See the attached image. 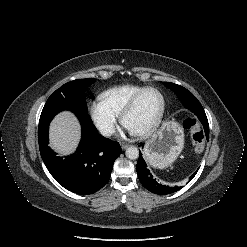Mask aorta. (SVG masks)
<instances>
[{
    "instance_id": "762f6f07",
    "label": "aorta",
    "mask_w": 247,
    "mask_h": 247,
    "mask_svg": "<svg viewBox=\"0 0 247 247\" xmlns=\"http://www.w3.org/2000/svg\"><path fill=\"white\" fill-rule=\"evenodd\" d=\"M125 155L127 158L131 159V160H135L138 158L139 156V150L137 147L135 146H130L126 149Z\"/></svg>"
}]
</instances>
